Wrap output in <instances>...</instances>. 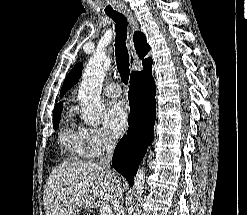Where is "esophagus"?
I'll list each match as a JSON object with an SVG mask.
<instances>
[{"mask_svg":"<svg viewBox=\"0 0 247 215\" xmlns=\"http://www.w3.org/2000/svg\"><path fill=\"white\" fill-rule=\"evenodd\" d=\"M123 13L127 16L130 26H131V30L134 31L138 28V23L137 20L135 19V16L132 14V12L128 9H124ZM128 49H129V56H130V63L131 64H135L138 62V58H137V54L134 48V45L131 41V39H129L128 41Z\"/></svg>","mask_w":247,"mask_h":215,"instance_id":"esophagus-1","label":"esophagus"}]
</instances>
